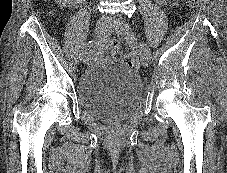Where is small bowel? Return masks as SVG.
I'll use <instances>...</instances> for the list:
<instances>
[{
    "label": "small bowel",
    "mask_w": 227,
    "mask_h": 173,
    "mask_svg": "<svg viewBox=\"0 0 227 173\" xmlns=\"http://www.w3.org/2000/svg\"><path fill=\"white\" fill-rule=\"evenodd\" d=\"M159 3L161 4H166L169 2V0H157ZM100 58V53L96 50L93 55H92V59L94 61L98 60Z\"/></svg>",
    "instance_id": "c3829d8e"
}]
</instances>
